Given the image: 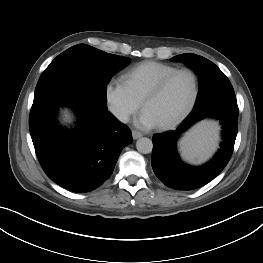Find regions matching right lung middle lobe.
<instances>
[{
  "label": "right lung middle lobe",
  "mask_w": 263,
  "mask_h": 263,
  "mask_svg": "<svg viewBox=\"0 0 263 263\" xmlns=\"http://www.w3.org/2000/svg\"><path fill=\"white\" fill-rule=\"evenodd\" d=\"M129 62L128 57L109 54L86 44L75 45L58 55L41 74L34 101L74 90L106 106L107 84Z\"/></svg>",
  "instance_id": "right-lung-middle-lobe-1"
}]
</instances>
